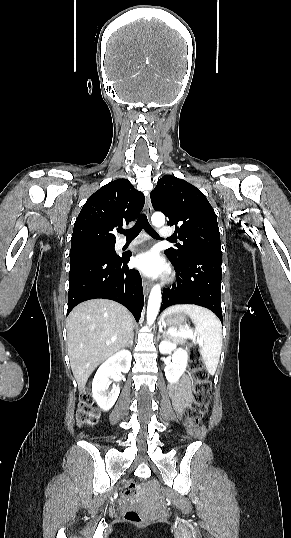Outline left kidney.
<instances>
[{
  "label": "left kidney",
  "instance_id": "obj_1",
  "mask_svg": "<svg viewBox=\"0 0 291 538\" xmlns=\"http://www.w3.org/2000/svg\"><path fill=\"white\" fill-rule=\"evenodd\" d=\"M161 354H172V362L165 366V376L170 383H176L186 370L188 362V352L182 348H177L176 343L164 340L159 345Z\"/></svg>",
  "mask_w": 291,
  "mask_h": 538
}]
</instances>
